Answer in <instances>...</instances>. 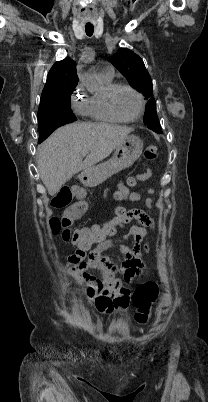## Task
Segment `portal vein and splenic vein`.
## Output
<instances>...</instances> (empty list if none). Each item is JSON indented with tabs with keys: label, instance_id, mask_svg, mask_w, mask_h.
<instances>
[{
	"label": "portal vein and splenic vein",
	"instance_id": "18ae733b",
	"mask_svg": "<svg viewBox=\"0 0 208 402\" xmlns=\"http://www.w3.org/2000/svg\"><path fill=\"white\" fill-rule=\"evenodd\" d=\"M83 156L88 157V154H83Z\"/></svg>",
	"mask_w": 208,
	"mask_h": 402
}]
</instances>
